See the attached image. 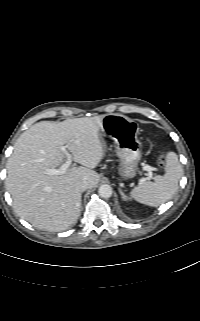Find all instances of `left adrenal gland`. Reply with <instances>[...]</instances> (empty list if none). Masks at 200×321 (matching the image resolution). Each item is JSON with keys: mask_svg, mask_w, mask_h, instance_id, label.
<instances>
[{"mask_svg": "<svg viewBox=\"0 0 200 321\" xmlns=\"http://www.w3.org/2000/svg\"><path fill=\"white\" fill-rule=\"evenodd\" d=\"M119 193H120V195H121L123 200H127L128 199V197L124 194V192L122 191L121 188H119Z\"/></svg>", "mask_w": 200, "mask_h": 321, "instance_id": "obj_1", "label": "left adrenal gland"}]
</instances>
